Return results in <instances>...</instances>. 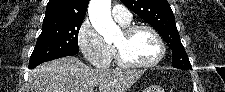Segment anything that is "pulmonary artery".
I'll return each instance as SVG.
<instances>
[{
    "label": "pulmonary artery",
    "instance_id": "e3ab8cb5",
    "mask_svg": "<svg viewBox=\"0 0 225 92\" xmlns=\"http://www.w3.org/2000/svg\"><path fill=\"white\" fill-rule=\"evenodd\" d=\"M112 16L120 24H129L132 20V15L129 10L122 5H115L112 8Z\"/></svg>",
    "mask_w": 225,
    "mask_h": 92
}]
</instances>
